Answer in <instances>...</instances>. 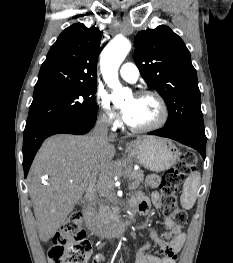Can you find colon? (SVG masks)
<instances>
[{
	"label": "colon",
	"mask_w": 233,
	"mask_h": 263,
	"mask_svg": "<svg viewBox=\"0 0 233 263\" xmlns=\"http://www.w3.org/2000/svg\"><path fill=\"white\" fill-rule=\"evenodd\" d=\"M196 156L192 152L181 154L174 167L161 178L163 214L176 226H187V213L178 205L177 192L185 176L194 168ZM81 212H73L53 237L48 248L50 263H92V244L85 237Z\"/></svg>",
	"instance_id": "5ec220e1"
}]
</instances>
